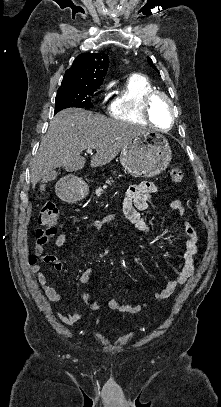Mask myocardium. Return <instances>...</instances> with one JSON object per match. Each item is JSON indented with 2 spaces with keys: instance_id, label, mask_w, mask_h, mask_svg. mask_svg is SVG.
Returning <instances> with one entry per match:
<instances>
[{
  "instance_id": "obj_1",
  "label": "myocardium",
  "mask_w": 221,
  "mask_h": 407,
  "mask_svg": "<svg viewBox=\"0 0 221 407\" xmlns=\"http://www.w3.org/2000/svg\"><path fill=\"white\" fill-rule=\"evenodd\" d=\"M158 99H163L168 104L170 111H171V121H170L168 128H166V129L157 128V129L162 132L168 131L173 127V125L175 123V115H174L173 101L166 93L159 91V90H154V91L150 92L144 98L141 111H142L143 116L146 119V121H148L151 125L155 126V123H154V120L152 117L151 108H152L153 103Z\"/></svg>"
}]
</instances>
